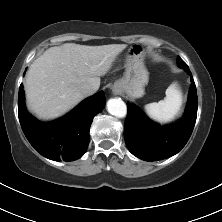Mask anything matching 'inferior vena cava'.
I'll return each mask as SVG.
<instances>
[{"label":"inferior vena cava","instance_id":"602c4592","mask_svg":"<svg viewBox=\"0 0 222 222\" xmlns=\"http://www.w3.org/2000/svg\"><path fill=\"white\" fill-rule=\"evenodd\" d=\"M96 88L94 86H92L91 84H83L80 86V92L84 95V96H89L92 95L96 92Z\"/></svg>","mask_w":222,"mask_h":222}]
</instances>
